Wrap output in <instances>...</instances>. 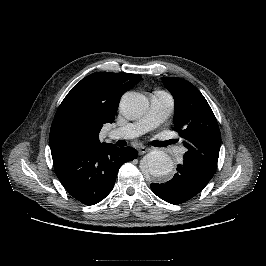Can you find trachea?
<instances>
[{"label": "trachea", "instance_id": "3493384b", "mask_svg": "<svg viewBox=\"0 0 266 266\" xmlns=\"http://www.w3.org/2000/svg\"><path fill=\"white\" fill-rule=\"evenodd\" d=\"M173 140H168V141H163L162 142V146H167V145H170V144H173Z\"/></svg>", "mask_w": 266, "mask_h": 266}]
</instances>
